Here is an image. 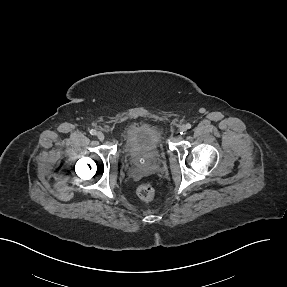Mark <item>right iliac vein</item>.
I'll return each instance as SVG.
<instances>
[{"label": "right iliac vein", "instance_id": "63e3f726", "mask_svg": "<svg viewBox=\"0 0 287 287\" xmlns=\"http://www.w3.org/2000/svg\"><path fill=\"white\" fill-rule=\"evenodd\" d=\"M97 138L100 140V141H103L105 139V135L102 133V132H98L97 133Z\"/></svg>", "mask_w": 287, "mask_h": 287}]
</instances>
